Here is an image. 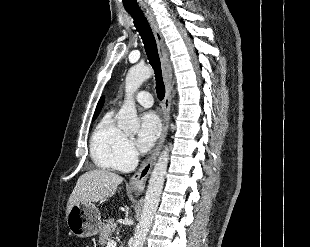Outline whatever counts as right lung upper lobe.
Wrapping results in <instances>:
<instances>
[{
  "mask_svg": "<svg viewBox=\"0 0 310 247\" xmlns=\"http://www.w3.org/2000/svg\"><path fill=\"white\" fill-rule=\"evenodd\" d=\"M104 103V96H102L97 104L96 110H95V114L94 116H97L102 108V105Z\"/></svg>",
  "mask_w": 310,
  "mask_h": 247,
  "instance_id": "obj_1",
  "label": "right lung upper lobe"
}]
</instances>
